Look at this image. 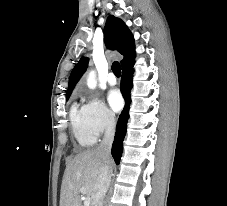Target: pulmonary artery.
<instances>
[{
    "label": "pulmonary artery",
    "mask_w": 227,
    "mask_h": 206,
    "mask_svg": "<svg viewBox=\"0 0 227 206\" xmlns=\"http://www.w3.org/2000/svg\"><path fill=\"white\" fill-rule=\"evenodd\" d=\"M107 81L110 85H116L117 84V79L112 72L108 74Z\"/></svg>",
    "instance_id": "pulmonary-artery-1"
}]
</instances>
